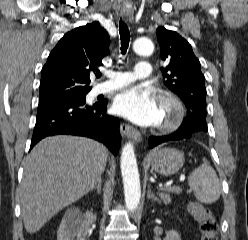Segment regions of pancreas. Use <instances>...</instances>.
I'll return each mask as SVG.
<instances>
[{
    "label": "pancreas",
    "instance_id": "cf45deb5",
    "mask_svg": "<svg viewBox=\"0 0 248 240\" xmlns=\"http://www.w3.org/2000/svg\"><path fill=\"white\" fill-rule=\"evenodd\" d=\"M163 190H166L168 193H163L162 192V193H160V196H161V198H162V200H163V202L165 204H169L171 202V197H170L169 193L170 192H175V191H173V190H171L169 188H166V189H163ZM175 193H177V192H175Z\"/></svg>",
    "mask_w": 248,
    "mask_h": 240
}]
</instances>
